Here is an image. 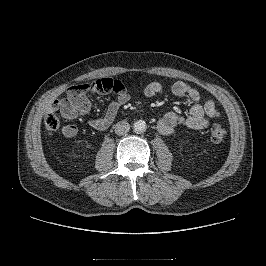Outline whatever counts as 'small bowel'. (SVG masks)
Here are the masks:
<instances>
[{"label":"small bowel","instance_id":"small-bowel-1","mask_svg":"<svg viewBox=\"0 0 266 266\" xmlns=\"http://www.w3.org/2000/svg\"><path fill=\"white\" fill-rule=\"evenodd\" d=\"M161 90V84L154 81L145 87L144 94L147 97H151L160 93ZM171 92L175 97L189 98L192 101V105L186 116L176 112H168L159 119L158 130L164 135L175 134L179 126L194 130L204 129L212 119L220 116V111L213 100H207L202 103L199 91L184 81L175 82L171 87ZM129 99V94L125 89L118 93L116 99L108 105L104 115L90 121L91 127L96 130L107 129L118 114L120 107L127 103ZM51 108L58 110L63 118L73 120L86 115L90 111L91 103L85 94H79L74 97L68 92L66 98L54 101ZM77 132L78 130L75 126L68 125L62 129L61 134L70 138L74 137Z\"/></svg>","mask_w":266,"mask_h":266}]
</instances>
